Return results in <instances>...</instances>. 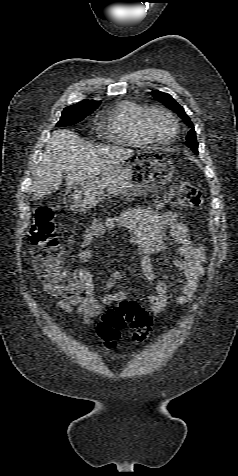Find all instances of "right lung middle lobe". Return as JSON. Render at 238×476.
Masks as SVG:
<instances>
[{
  "mask_svg": "<svg viewBox=\"0 0 238 476\" xmlns=\"http://www.w3.org/2000/svg\"><path fill=\"white\" fill-rule=\"evenodd\" d=\"M98 106H76L66 107L57 126H68L81 121L83 118L91 114Z\"/></svg>",
  "mask_w": 238,
  "mask_h": 476,
  "instance_id": "obj_1",
  "label": "right lung middle lobe"
}]
</instances>
